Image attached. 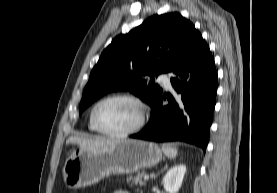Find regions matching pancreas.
<instances>
[{"label": "pancreas", "mask_w": 277, "mask_h": 193, "mask_svg": "<svg viewBox=\"0 0 277 193\" xmlns=\"http://www.w3.org/2000/svg\"><path fill=\"white\" fill-rule=\"evenodd\" d=\"M143 176H144V173H138L135 176H129L127 178V182L131 183V185L132 184H134V185H138L139 184L140 186H145L146 185V181L142 179Z\"/></svg>", "instance_id": "1"}]
</instances>
